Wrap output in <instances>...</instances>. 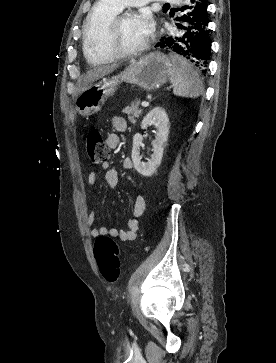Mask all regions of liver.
Wrapping results in <instances>:
<instances>
[{
    "label": "liver",
    "instance_id": "6515ba94",
    "mask_svg": "<svg viewBox=\"0 0 276 363\" xmlns=\"http://www.w3.org/2000/svg\"><path fill=\"white\" fill-rule=\"evenodd\" d=\"M118 67L117 64L104 65L94 67L90 69L82 80V85L80 87V92L84 91L91 83L97 81L98 79L112 73Z\"/></svg>",
    "mask_w": 276,
    "mask_h": 363
}]
</instances>
